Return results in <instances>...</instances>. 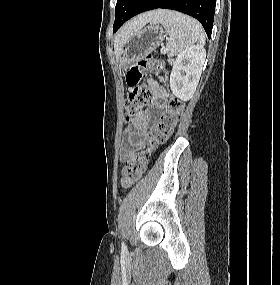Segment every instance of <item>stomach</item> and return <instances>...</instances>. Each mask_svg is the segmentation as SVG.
<instances>
[{
	"label": "stomach",
	"instance_id": "stomach-1",
	"mask_svg": "<svg viewBox=\"0 0 280 285\" xmlns=\"http://www.w3.org/2000/svg\"><path fill=\"white\" fill-rule=\"evenodd\" d=\"M163 42V29L156 23L140 29L122 45L119 61L122 67L145 58Z\"/></svg>",
	"mask_w": 280,
	"mask_h": 285
}]
</instances>
